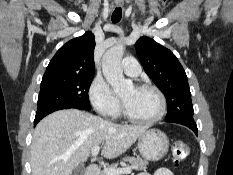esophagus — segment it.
Wrapping results in <instances>:
<instances>
[{"label":"esophagus","mask_w":233,"mask_h":175,"mask_svg":"<svg viewBox=\"0 0 233 175\" xmlns=\"http://www.w3.org/2000/svg\"><path fill=\"white\" fill-rule=\"evenodd\" d=\"M115 5H116L117 7H122V6H123V2H121V1H116Z\"/></svg>","instance_id":"obj_1"}]
</instances>
